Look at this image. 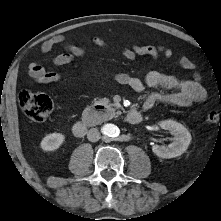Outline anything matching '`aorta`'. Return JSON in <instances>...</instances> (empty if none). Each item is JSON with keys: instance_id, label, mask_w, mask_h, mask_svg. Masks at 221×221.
Listing matches in <instances>:
<instances>
[{"instance_id": "1", "label": "aorta", "mask_w": 221, "mask_h": 221, "mask_svg": "<svg viewBox=\"0 0 221 221\" xmlns=\"http://www.w3.org/2000/svg\"><path fill=\"white\" fill-rule=\"evenodd\" d=\"M102 132L109 137H114L118 134V128L114 124H106L102 128Z\"/></svg>"}]
</instances>
